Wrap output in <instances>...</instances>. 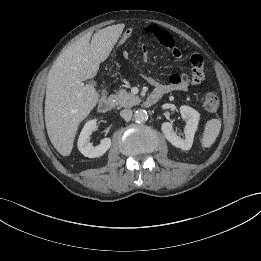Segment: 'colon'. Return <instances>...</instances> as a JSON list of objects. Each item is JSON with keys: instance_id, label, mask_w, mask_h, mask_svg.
I'll use <instances>...</instances> for the list:
<instances>
[{"instance_id": "5ec220e1", "label": "colon", "mask_w": 261, "mask_h": 261, "mask_svg": "<svg viewBox=\"0 0 261 261\" xmlns=\"http://www.w3.org/2000/svg\"><path fill=\"white\" fill-rule=\"evenodd\" d=\"M133 29L128 27L116 40L118 47H123L132 37ZM219 98L215 93H206L203 97V106L207 111L215 112L219 108Z\"/></svg>"}]
</instances>
